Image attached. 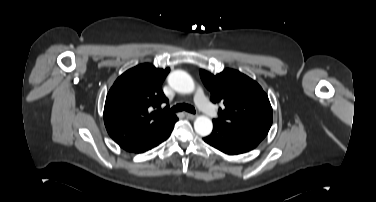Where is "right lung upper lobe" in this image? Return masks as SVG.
<instances>
[{"label": "right lung upper lobe", "instance_id": "cb5924a9", "mask_svg": "<svg viewBox=\"0 0 376 202\" xmlns=\"http://www.w3.org/2000/svg\"><path fill=\"white\" fill-rule=\"evenodd\" d=\"M170 69L140 64L124 72L109 90L104 107L108 134L122 148L164 126L174 114L161 110L168 102L161 85Z\"/></svg>", "mask_w": 376, "mask_h": 202}]
</instances>
